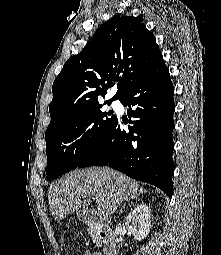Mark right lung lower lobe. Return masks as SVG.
Returning <instances> with one entry per match:
<instances>
[{
  "mask_svg": "<svg viewBox=\"0 0 221 255\" xmlns=\"http://www.w3.org/2000/svg\"><path fill=\"white\" fill-rule=\"evenodd\" d=\"M173 94L170 74L161 57L120 98L128 107L129 131L122 129V121L116 117L77 168L109 165L136 180L159 187L171 198Z\"/></svg>",
  "mask_w": 221,
  "mask_h": 255,
  "instance_id": "98d812e1",
  "label": "right lung lower lobe"
}]
</instances>
